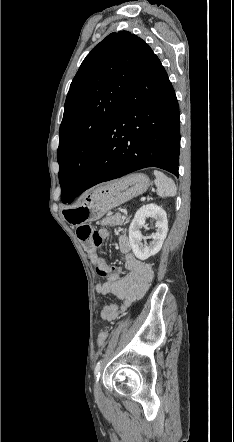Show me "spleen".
Returning <instances> with one entry per match:
<instances>
[{
	"instance_id": "obj_1",
	"label": "spleen",
	"mask_w": 234,
	"mask_h": 442,
	"mask_svg": "<svg viewBox=\"0 0 234 442\" xmlns=\"http://www.w3.org/2000/svg\"><path fill=\"white\" fill-rule=\"evenodd\" d=\"M154 175L157 194L160 197H173L176 195L177 188L171 178L167 177L159 170H154Z\"/></svg>"
}]
</instances>
